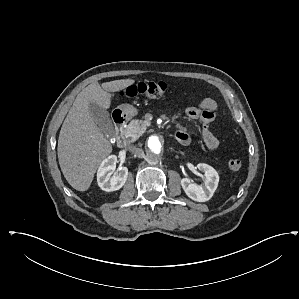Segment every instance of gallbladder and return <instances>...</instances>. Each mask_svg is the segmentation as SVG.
<instances>
[{
	"label": "gallbladder",
	"mask_w": 299,
	"mask_h": 299,
	"mask_svg": "<svg viewBox=\"0 0 299 299\" xmlns=\"http://www.w3.org/2000/svg\"><path fill=\"white\" fill-rule=\"evenodd\" d=\"M90 111L93 115L96 124L104 133H110L113 131V125L110 115L105 109H102L98 105L91 103Z\"/></svg>",
	"instance_id": "1"
}]
</instances>
